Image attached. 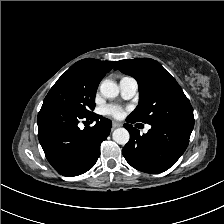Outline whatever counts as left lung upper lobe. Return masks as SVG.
I'll list each match as a JSON object with an SVG mask.
<instances>
[{"label": "left lung upper lobe", "instance_id": "left-lung-upper-lobe-1", "mask_svg": "<svg viewBox=\"0 0 224 224\" xmlns=\"http://www.w3.org/2000/svg\"><path fill=\"white\" fill-rule=\"evenodd\" d=\"M115 69L134 77L139 85V105L129 115L136 122L155 123L194 118L189 99L160 63L150 58L120 60Z\"/></svg>", "mask_w": 224, "mask_h": 224}]
</instances>
